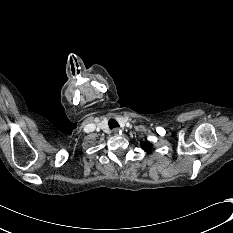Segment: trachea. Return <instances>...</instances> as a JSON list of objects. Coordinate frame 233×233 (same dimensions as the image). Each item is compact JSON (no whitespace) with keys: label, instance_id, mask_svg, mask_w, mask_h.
Segmentation results:
<instances>
[{"label":"trachea","instance_id":"1","mask_svg":"<svg viewBox=\"0 0 233 233\" xmlns=\"http://www.w3.org/2000/svg\"><path fill=\"white\" fill-rule=\"evenodd\" d=\"M108 124H109L110 129L119 127V124L114 119H110L109 122H108Z\"/></svg>","mask_w":233,"mask_h":233}]
</instances>
